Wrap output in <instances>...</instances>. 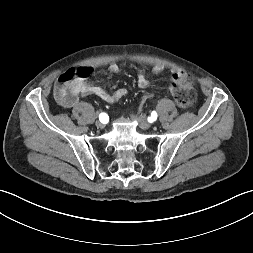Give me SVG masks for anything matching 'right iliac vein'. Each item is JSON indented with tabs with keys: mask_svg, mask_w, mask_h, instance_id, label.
I'll list each match as a JSON object with an SVG mask.
<instances>
[{
	"mask_svg": "<svg viewBox=\"0 0 253 253\" xmlns=\"http://www.w3.org/2000/svg\"><path fill=\"white\" fill-rule=\"evenodd\" d=\"M95 125L97 126V128H103L104 127V123H102L101 121H96Z\"/></svg>",
	"mask_w": 253,
	"mask_h": 253,
	"instance_id": "obj_1",
	"label": "right iliac vein"
}]
</instances>
